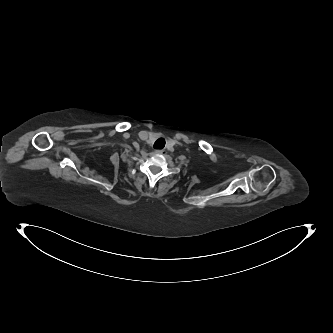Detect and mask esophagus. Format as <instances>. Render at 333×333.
<instances>
[{"mask_svg":"<svg viewBox=\"0 0 333 333\" xmlns=\"http://www.w3.org/2000/svg\"><path fill=\"white\" fill-rule=\"evenodd\" d=\"M164 152H165L164 149H157V150H155V153H157V154H163Z\"/></svg>","mask_w":333,"mask_h":333,"instance_id":"obj_1","label":"esophagus"}]
</instances>
